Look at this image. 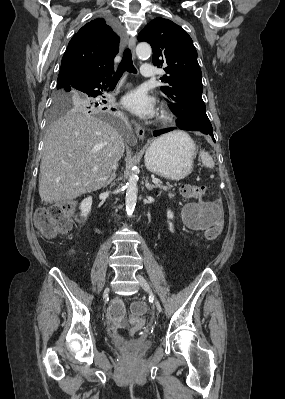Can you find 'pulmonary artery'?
Wrapping results in <instances>:
<instances>
[{"label":"pulmonary artery","instance_id":"1","mask_svg":"<svg viewBox=\"0 0 285 399\" xmlns=\"http://www.w3.org/2000/svg\"><path fill=\"white\" fill-rule=\"evenodd\" d=\"M140 75L144 78H153L155 76L154 66L150 63H143L140 68Z\"/></svg>","mask_w":285,"mask_h":399}]
</instances>
